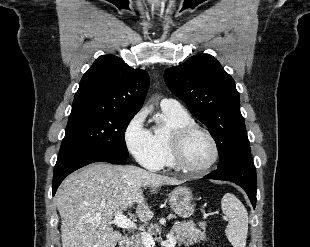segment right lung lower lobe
<instances>
[{
    "mask_svg": "<svg viewBox=\"0 0 310 247\" xmlns=\"http://www.w3.org/2000/svg\"><path fill=\"white\" fill-rule=\"evenodd\" d=\"M127 161L126 157L109 154L105 152H94L86 150H75L59 154L56 165L54 167L53 195L63 179L73 171L94 163V162H109L112 164H123Z\"/></svg>",
    "mask_w": 310,
    "mask_h": 247,
    "instance_id": "98d812e1",
    "label": "right lung lower lobe"
}]
</instances>
